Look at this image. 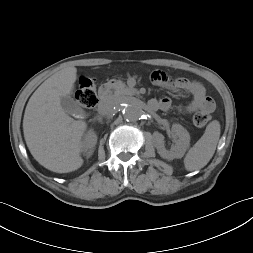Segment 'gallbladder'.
Returning a JSON list of instances; mask_svg holds the SVG:
<instances>
[{
	"instance_id": "obj_1",
	"label": "gallbladder",
	"mask_w": 253,
	"mask_h": 253,
	"mask_svg": "<svg viewBox=\"0 0 253 253\" xmlns=\"http://www.w3.org/2000/svg\"><path fill=\"white\" fill-rule=\"evenodd\" d=\"M60 104L64 112L68 114H77L79 111L78 104L76 101L70 96H61Z\"/></svg>"
}]
</instances>
